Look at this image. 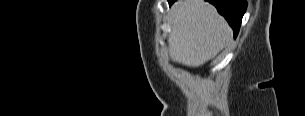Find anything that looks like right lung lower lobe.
<instances>
[{
	"instance_id": "1",
	"label": "right lung lower lobe",
	"mask_w": 305,
	"mask_h": 116,
	"mask_svg": "<svg viewBox=\"0 0 305 116\" xmlns=\"http://www.w3.org/2000/svg\"><path fill=\"white\" fill-rule=\"evenodd\" d=\"M172 4L175 0H168ZM213 4L217 11L225 17L229 25L234 31V38H236L242 17L247 8L246 0H207Z\"/></svg>"
}]
</instances>
